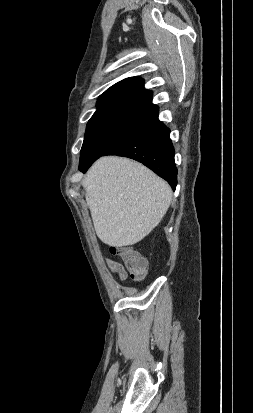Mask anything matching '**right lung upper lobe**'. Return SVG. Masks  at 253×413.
Masks as SVG:
<instances>
[{
  "mask_svg": "<svg viewBox=\"0 0 253 413\" xmlns=\"http://www.w3.org/2000/svg\"><path fill=\"white\" fill-rule=\"evenodd\" d=\"M158 113L152 104V92L144 88L143 79L126 78L106 90L97 101L92 117L107 114H127L151 118Z\"/></svg>",
  "mask_w": 253,
  "mask_h": 413,
  "instance_id": "obj_1",
  "label": "right lung upper lobe"
}]
</instances>
